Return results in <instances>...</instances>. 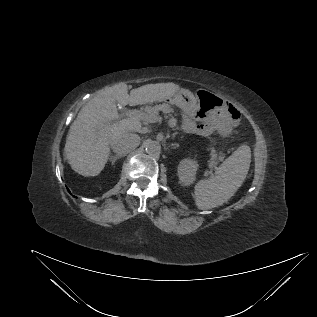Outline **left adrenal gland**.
I'll return each mask as SVG.
<instances>
[{
  "mask_svg": "<svg viewBox=\"0 0 317 317\" xmlns=\"http://www.w3.org/2000/svg\"><path fill=\"white\" fill-rule=\"evenodd\" d=\"M176 134H177V133H174V134H173V137H172L173 139H174V137H175Z\"/></svg>",
  "mask_w": 317,
  "mask_h": 317,
  "instance_id": "obj_1",
  "label": "left adrenal gland"
}]
</instances>
